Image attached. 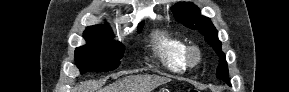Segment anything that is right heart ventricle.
I'll use <instances>...</instances> for the list:
<instances>
[{
    "label": "right heart ventricle",
    "instance_id": "e07e8e85",
    "mask_svg": "<svg viewBox=\"0 0 289 92\" xmlns=\"http://www.w3.org/2000/svg\"><path fill=\"white\" fill-rule=\"evenodd\" d=\"M152 44L154 53L169 71L182 73L186 69L187 44L182 38L165 31H158L152 37Z\"/></svg>",
    "mask_w": 289,
    "mask_h": 92
}]
</instances>
